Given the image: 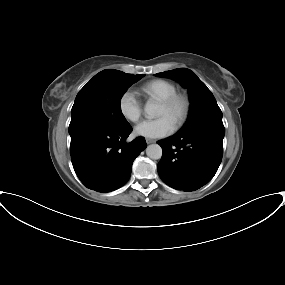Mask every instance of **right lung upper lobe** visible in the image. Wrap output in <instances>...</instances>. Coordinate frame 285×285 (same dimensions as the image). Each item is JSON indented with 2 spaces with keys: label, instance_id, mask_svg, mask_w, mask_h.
Wrapping results in <instances>:
<instances>
[{
  "label": "right lung upper lobe",
  "instance_id": "1",
  "mask_svg": "<svg viewBox=\"0 0 285 285\" xmlns=\"http://www.w3.org/2000/svg\"><path fill=\"white\" fill-rule=\"evenodd\" d=\"M111 70H113V69H107V70H104V71H111Z\"/></svg>",
  "mask_w": 285,
  "mask_h": 285
}]
</instances>
